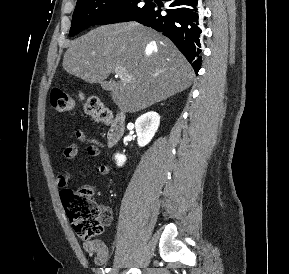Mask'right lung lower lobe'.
Wrapping results in <instances>:
<instances>
[{
    "mask_svg": "<svg viewBox=\"0 0 289 274\" xmlns=\"http://www.w3.org/2000/svg\"><path fill=\"white\" fill-rule=\"evenodd\" d=\"M166 2H170L167 9H161L160 4L151 3L135 20L167 36L198 73L201 64L202 32L200 0H166ZM162 11L166 14H162Z\"/></svg>",
    "mask_w": 289,
    "mask_h": 274,
    "instance_id": "right-lung-lower-lobe-1",
    "label": "right lung lower lobe"
}]
</instances>
